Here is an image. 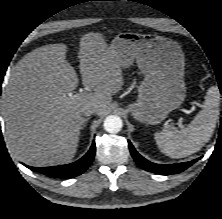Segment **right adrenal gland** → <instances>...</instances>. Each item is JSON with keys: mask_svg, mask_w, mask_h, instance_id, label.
Returning <instances> with one entry per match:
<instances>
[{"mask_svg": "<svg viewBox=\"0 0 222 219\" xmlns=\"http://www.w3.org/2000/svg\"><path fill=\"white\" fill-rule=\"evenodd\" d=\"M88 120H89V117L85 118V121H84V124H83L82 129H83L84 127H86V124H87Z\"/></svg>", "mask_w": 222, "mask_h": 219, "instance_id": "obj_1", "label": "right adrenal gland"}]
</instances>
